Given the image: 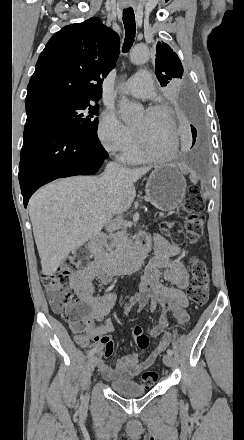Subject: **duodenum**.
<instances>
[{
	"mask_svg": "<svg viewBox=\"0 0 244 440\" xmlns=\"http://www.w3.org/2000/svg\"><path fill=\"white\" fill-rule=\"evenodd\" d=\"M105 238L103 235H95L88 241V250L92 256H101L102 249L105 247ZM148 253V246L139 241L138 248L134 253L125 254L119 258L102 257L98 260L105 272L114 274L136 273L143 266Z\"/></svg>",
	"mask_w": 244,
	"mask_h": 440,
	"instance_id": "410a0bca",
	"label": "duodenum"
}]
</instances>
